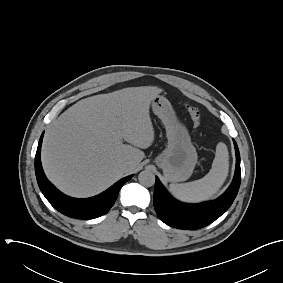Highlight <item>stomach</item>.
Listing matches in <instances>:
<instances>
[{
  "mask_svg": "<svg viewBox=\"0 0 283 283\" xmlns=\"http://www.w3.org/2000/svg\"><path fill=\"white\" fill-rule=\"evenodd\" d=\"M152 109L166 129L168 145L155 159L168 182L187 180L197 163V153L187 128L178 120L171 103L164 96L152 100Z\"/></svg>",
  "mask_w": 283,
  "mask_h": 283,
  "instance_id": "stomach-1",
  "label": "stomach"
}]
</instances>
